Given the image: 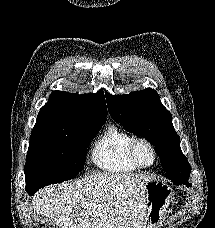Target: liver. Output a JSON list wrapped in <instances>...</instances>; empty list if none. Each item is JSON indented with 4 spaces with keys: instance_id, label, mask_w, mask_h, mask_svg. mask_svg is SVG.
Listing matches in <instances>:
<instances>
[{
    "instance_id": "liver-1",
    "label": "liver",
    "mask_w": 215,
    "mask_h": 228,
    "mask_svg": "<svg viewBox=\"0 0 215 228\" xmlns=\"http://www.w3.org/2000/svg\"><path fill=\"white\" fill-rule=\"evenodd\" d=\"M151 180L102 172L47 186L32 196V204L57 228H146L143 188Z\"/></svg>"
}]
</instances>
